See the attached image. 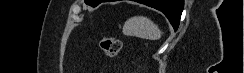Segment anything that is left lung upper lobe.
<instances>
[{
	"mask_svg": "<svg viewBox=\"0 0 244 73\" xmlns=\"http://www.w3.org/2000/svg\"><path fill=\"white\" fill-rule=\"evenodd\" d=\"M85 2L88 4V5H91L93 7L99 5L101 3V0H85Z\"/></svg>",
	"mask_w": 244,
	"mask_h": 73,
	"instance_id": "5c2ea615",
	"label": "left lung upper lobe"
}]
</instances>
